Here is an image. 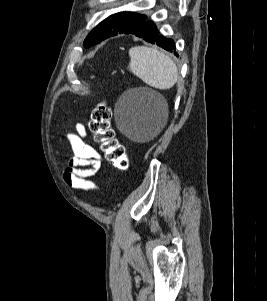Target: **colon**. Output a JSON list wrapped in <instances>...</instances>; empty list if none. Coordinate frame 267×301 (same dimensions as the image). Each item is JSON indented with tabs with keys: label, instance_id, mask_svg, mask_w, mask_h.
<instances>
[{
	"label": "colon",
	"instance_id": "obj_1",
	"mask_svg": "<svg viewBox=\"0 0 267 301\" xmlns=\"http://www.w3.org/2000/svg\"><path fill=\"white\" fill-rule=\"evenodd\" d=\"M88 126L105 158L114 167L127 170L130 165L129 158L124 146L117 140L115 131L111 127V110L104 102H99L94 106Z\"/></svg>",
	"mask_w": 267,
	"mask_h": 301
}]
</instances>
